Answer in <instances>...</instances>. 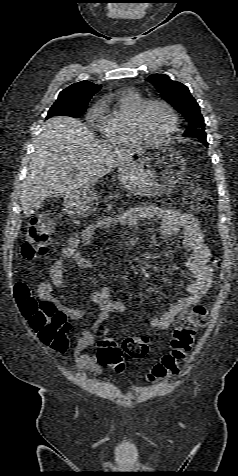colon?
Instances as JSON below:
<instances>
[{
  "label": "colon",
  "mask_w": 238,
  "mask_h": 476,
  "mask_svg": "<svg viewBox=\"0 0 238 476\" xmlns=\"http://www.w3.org/2000/svg\"><path fill=\"white\" fill-rule=\"evenodd\" d=\"M184 203L190 210L198 212L206 211L212 206L211 198L197 183L187 184ZM52 229L49 221L43 217H34L28 225L26 239L21 248L23 258L31 260L46 255ZM15 295L22 315L39 339L49 348L65 352L70 329L66 317L51 303L36 300L23 283L16 285ZM207 323L205 307L195 305L185 310L176 321L170 343L171 350L152 368L147 376L148 380H164L177 376L191 351L196 334L204 329ZM148 350L149 339L146 336L128 337L120 346L112 340L103 339L98 344L97 358L101 365L121 371L124 367V355L140 359L147 355Z\"/></svg>",
  "instance_id": "5ec220e1"
}]
</instances>
